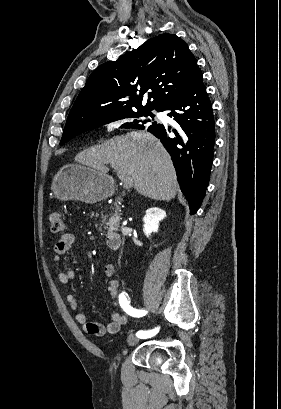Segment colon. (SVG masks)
I'll return each instance as SVG.
<instances>
[{
  "instance_id": "colon-1",
  "label": "colon",
  "mask_w": 281,
  "mask_h": 409,
  "mask_svg": "<svg viewBox=\"0 0 281 409\" xmlns=\"http://www.w3.org/2000/svg\"><path fill=\"white\" fill-rule=\"evenodd\" d=\"M49 220L52 231L58 235H63L68 230V223L64 215L58 210H51L49 212Z\"/></svg>"
}]
</instances>
